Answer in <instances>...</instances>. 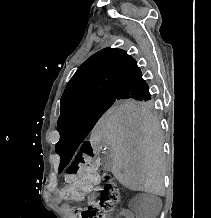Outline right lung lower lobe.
Returning a JSON list of instances; mask_svg holds the SVG:
<instances>
[{"label": "right lung lower lobe", "mask_w": 211, "mask_h": 218, "mask_svg": "<svg viewBox=\"0 0 211 218\" xmlns=\"http://www.w3.org/2000/svg\"><path fill=\"white\" fill-rule=\"evenodd\" d=\"M121 97L133 98H149L151 94L149 87L145 80L142 78V73L139 71L122 89L120 92Z\"/></svg>", "instance_id": "1"}]
</instances>
